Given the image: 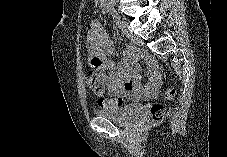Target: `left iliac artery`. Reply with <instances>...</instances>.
<instances>
[{"label": "left iliac artery", "mask_w": 227, "mask_h": 157, "mask_svg": "<svg viewBox=\"0 0 227 157\" xmlns=\"http://www.w3.org/2000/svg\"><path fill=\"white\" fill-rule=\"evenodd\" d=\"M116 25H117L119 28H122V27H123V22L120 21V20H118V21L116 22Z\"/></svg>", "instance_id": "obj_1"}]
</instances>
